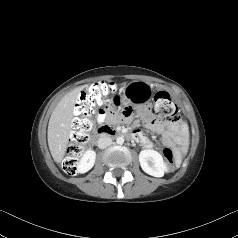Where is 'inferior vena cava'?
Instances as JSON below:
<instances>
[{"mask_svg":"<svg viewBox=\"0 0 238 238\" xmlns=\"http://www.w3.org/2000/svg\"><path fill=\"white\" fill-rule=\"evenodd\" d=\"M112 144V139L109 136H102L98 139V147L105 149Z\"/></svg>","mask_w":238,"mask_h":238,"instance_id":"602c4592","label":"inferior vena cava"}]
</instances>
